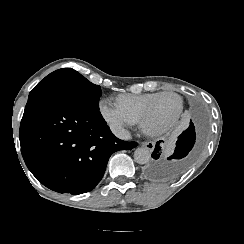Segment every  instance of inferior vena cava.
<instances>
[{
	"label": "inferior vena cava",
	"instance_id": "1",
	"mask_svg": "<svg viewBox=\"0 0 244 244\" xmlns=\"http://www.w3.org/2000/svg\"><path fill=\"white\" fill-rule=\"evenodd\" d=\"M111 130L119 139L128 140L131 138L129 131L126 129L119 127H111Z\"/></svg>",
	"mask_w": 244,
	"mask_h": 244
}]
</instances>
